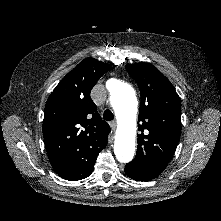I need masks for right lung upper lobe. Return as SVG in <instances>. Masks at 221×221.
I'll return each instance as SVG.
<instances>
[{"label":"right lung upper lobe","instance_id":"1","mask_svg":"<svg viewBox=\"0 0 221 221\" xmlns=\"http://www.w3.org/2000/svg\"><path fill=\"white\" fill-rule=\"evenodd\" d=\"M110 65L86 58L69 72L49 96L43 136L49 161L63 179L88 177L107 145L109 125L101 119L90 92Z\"/></svg>","mask_w":221,"mask_h":221}]
</instances>
